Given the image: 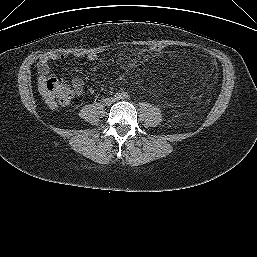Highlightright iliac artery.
<instances>
[{"instance_id":"obj_1","label":"right iliac artery","mask_w":257,"mask_h":257,"mask_svg":"<svg viewBox=\"0 0 257 257\" xmlns=\"http://www.w3.org/2000/svg\"><path fill=\"white\" fill-rule=\"evenodd\" d=\"M115 98H116V99L121 98V94H120V93H116Z\"/></svg>"}]
</instances>
